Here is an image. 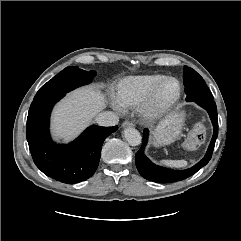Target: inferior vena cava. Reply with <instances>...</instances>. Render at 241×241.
Instances as JSON below:
<instances>
[{
    "instance_id": "obj_1",
    "label": "inferior vena cava",
    "mask_w": 241,
    "mask_h": 241,
    "mask_svg": "<svg viewBox=\"0 0 241 241\" xmlns=\"http://www.w3.org/2000/svg\"><path fill=\"white\" fill-rule=\"evenodd\" d=\"M95 121L100 126H115L119 122V117L111 111H105L100 113Z\"/></svg>"
}]
</instances>
